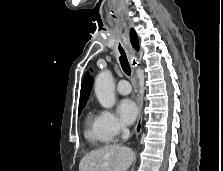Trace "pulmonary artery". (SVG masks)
Here are the masks:
<instances>
[{"label":"pulmonary artery","instance_id":"obj_1","mask_svg":"<svg viewBox=\"0 0 223 171\" xmlns=\"http://www.w3.org/2000/svg\"><path fill=\"white\" fill-rule=\"evenodd\" d=\"M132 88L129 82L125 79H121L117 84V91L121 95H128Z\"/></svg>","mask_w":223,"mask_h":171}]
</instances>
